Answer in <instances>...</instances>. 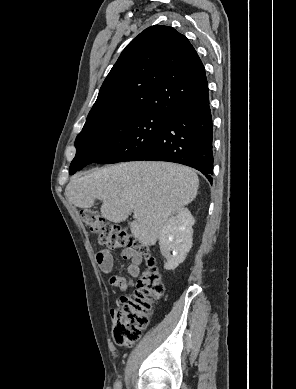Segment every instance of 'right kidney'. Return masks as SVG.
Instances as JSON below:
<instances>
[{
	"mask_svg": "<svg viewBox=\"0 0 296 389\" xmlns=\"http://www.w3.org/2000/svg\"><path fill=\"white\" fill-rule=\"evenodd\" d=\"M195 220L187 208L178 209L164 224L159 236L160 250L167 261L166 270H174L181 264L192 247Z\"/></svg>",
	"mask_w": 296,
	"mask_h": 389,
	"instance_id": "ca27d5eb",
	"label": "right kidney"
}]
</instances>
